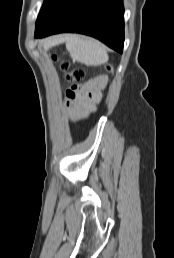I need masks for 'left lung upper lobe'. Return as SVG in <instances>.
<instances>
[{"label":"left lung upper lobe","mask_w":174,"mask_h":258,"mask_svg":"<svg viewBox=\"0 0 174 258\" xmlns=\"http://www.w3.org/2000/svg\"><path fill=\"white\" fill-rule=\"evenodd\" d=\"M58 0H44V3L42 5L41 11L38 15L37 21H36V28L43 22L49 11L52 9V7L55 5V3Z\"/></svg>","instance_id":"1"}]
</instances>
